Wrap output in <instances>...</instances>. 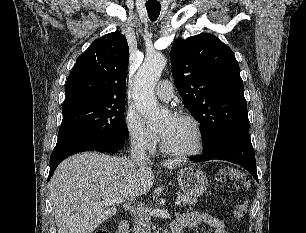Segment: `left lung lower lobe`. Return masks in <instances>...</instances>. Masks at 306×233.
<instances>
[{
	"label": "left lung lower lobe",
	"instance_id": "obj_1",
	"mask_svg": "<svg viewBox=\"0 0 306 233\" xmlns=\"http://www.w3.org/2000/svg\"><path fill=\"white\" fill-rule=\"evenodd\" d=\"M191 159L196 162L220 159L238 164L259 182L249 133H235L219 137L204 146V153L201 156Z\"/></svg>",
	"mask_w": 306,
	"mask_h": 233
}]
</instances>
